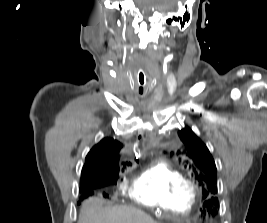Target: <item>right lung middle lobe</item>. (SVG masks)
Masks as SVG:
<instances>
[{
	"instance_id": "1",
	"label": "right lung middle lobe",
	"mask_w": 267,
	"mask_h": 223,
	"mask_svg": "<svg viewBox=\"0 0 267 223\" xmlns=\"http://www.w3.org/2000/svg\"><path fill=\"white\" fill-rule=\"evenodd\" d=\"M118 177H119V168L109 170L103 177H101V179L106 181L105 185L107 186L112 183H116ZM92 194L93 192L83 193L81 199H84L85 197H88L89 195Z\"/></svg>"
}]
</instances>
